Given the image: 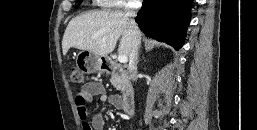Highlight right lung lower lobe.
Here are the masks:
<instances>
[{
	"mask_svg": "<svg viewBox=\"0 0 257 130\" xmlns=\"http://www.w3.org/2000/svg\"><path fill=\"white\" fill-rule=\"evenodd\" d=\"M192 0H144L136 22L147 37L175 49L184 44Z\"/></svg>",
	"mask_w": 257,
	"mask_h": 130,
	"instance_id": "obj_1",
	"label": "right lung lower lobe"
}]
</instances>
